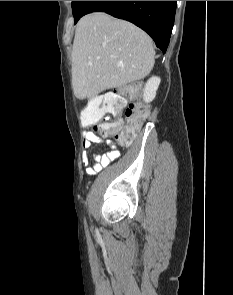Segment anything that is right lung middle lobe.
<instances>
[{"label":"right lung middle lobe","mask_w":233,"mask_h":295,"mask_svg":"<svg viewBox=\"0 0 233 295\" xmlns=\"http://www.w3.org/2000/svg\"><path fill=\"white\" fill-rule=\"evenodd\" d=\"M87 1H72V10L75 24L82 17V13Z\"/></svg>","instance_id":"dd1d6c3e"}]
</instances>
